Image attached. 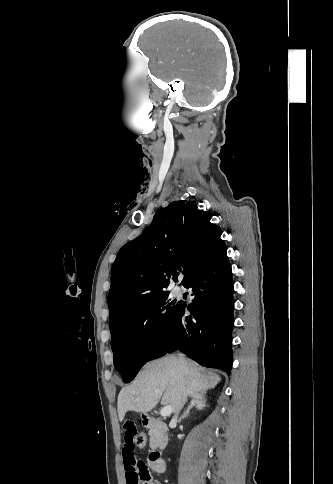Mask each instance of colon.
<instances>
[{
	"instance_id": "obj_1",
	"label": "colon",
	"mask_w": 333,
	"mask_h": 484,
	"mask_svg": "<svg viewBox=\"0 0 333 484\" xmlns=\"http://www.w3.org/2000/svg\"><path fill=\"white\" fill-rule=\"evenodd\" d=\"M146 443V436L144 433H138L135 438V445L138 447H143Z\"/></svg>"
}]
</instances>
